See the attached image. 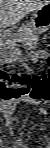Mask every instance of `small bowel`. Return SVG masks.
Wrapping results in <instances>:
<instances>
[{"label":"small bowel","instance_id":"small-bowel-1","mask_svg":"<svg viewBox=\"0 0 50 148\" xmlns=\"http://www.w3.org/2000/svg\"><path fill=\"white\" fill-rule=\"evenodd\" d=\"M17 107L18 106L16 105H8V104L3 105L2 107L4 117L9 125H14L13 118L16 113ZM40 112L45 115L44 111H40ZM13 147L27 148L28 146L22 142H16L13 145Z\"/></svg>","mask_w":50,"mask_h":148}]
</instances>
